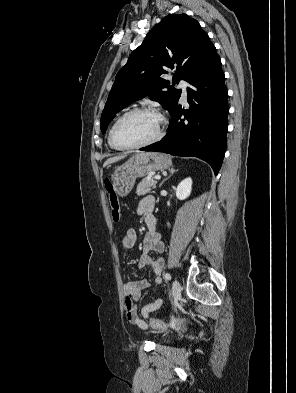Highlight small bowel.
Returning <instances> with one entry per match:
<instances>
[{
  "label": "small bowel",
  "mask_w": 296,
  "mask_h": 393,
  "mask_svg": "<svg viewBox=\"0 0 296 393\" xmlns=\"http://www.w3.org/2000/svg\"><path fill=\"white\" fill-rule=\"evenodd\" d=\"M155 207V200L152 196L143 198L136 209V213L143 217L148 226L149 231L145 235L142 242L143 254L137 264V268L150 267L155 274V283L162 284L161 273L163 269L164 260L162 257L152 258L151 252L161 253L164 250V243L161 236L155 230V217L153 214ZM137 241V235L134 229L125 231L122 239V248L130 250L134 247ZM150 283L147 280H138L127 282L123 285V292L125 295L124 309L128 321L139 328L146 329L148 327L145 319H148L150 314L158 310L162 304L163 299L158 298L154 302L144 305L141 309L142 317L138 315L136 302L141 298L142 291L147 289Z\"/></svg>",
  "instance_id": "c3829d8e"
}]
</instances>
